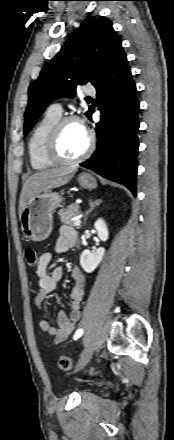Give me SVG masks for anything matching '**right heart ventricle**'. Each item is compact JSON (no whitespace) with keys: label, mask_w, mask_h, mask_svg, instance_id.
<instances>
[{"label":"right heart ventricle","mask_w":174,"mask_h":440,"mask_svg":"<svg viewBox=\"0 0 174 440\" xmlns=\"http://www.w3.org/2000/svg\"><path fill=\"white\" fill-rule=\"evenodd\" d=\"M60 117L47 111L30 134L27 149L29 161L34 170H47L56 165L47 157L46 145L49 133Z\"/></svg>","instance_id":"e07e8e85"}]
</instances>
